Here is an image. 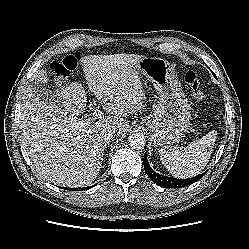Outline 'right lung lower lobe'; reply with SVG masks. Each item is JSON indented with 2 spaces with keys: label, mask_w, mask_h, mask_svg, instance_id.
Returning a JSON list of instances; mask_svg holds the SVG:
<instances>
[{
  "label": "right lung lower lobe",
  "mask_w": 249,
  "mask_h": 249,
  "mask_svg": "<svg viewBox=\"0 0 249 249\" xmlns=\"http://www.w3.org/2000/svg\"><path fill=\"white\" fill-rule=\"evenodd\" d=\"M83 189H88V187H84ZM72 190H78V188H72Z\"/></svg>",
  "instance_id": "1"
}]
</instances>
